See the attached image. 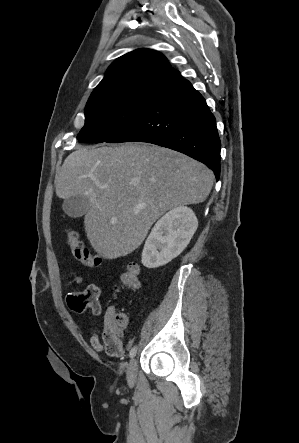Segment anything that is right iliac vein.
I'll return each mask as SVG.
<instances>
[{
    "label": "right iliac vein",
    "instance_id": "right-iliac-vein-1",
    "mask_svg": "<svg viewBox=\"0 0 299 443\" xmlns=\"http://www.w3.org/2000/svg\"><path fill=\"white\" fill-rule=\"evenodd\" d=\"M136 373H137V361L135 358H133L129 363L126 373L127 382L130 386H133L135 384Z\"/></svg>",
    "mask_w": 299,
    "mask_h": 443
}]
</instances>
